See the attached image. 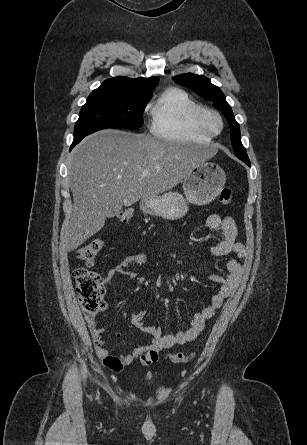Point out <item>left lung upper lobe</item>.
<instances>
[{
	"instance_id": "5c2ea615",
	"label": "left lung upper lobe",
	"mask_w": 307,
	"mask_h": 445,
	"mask_svg": "<svg viewBox=\"0 0 307 445\" xmlns=\"http://www.w3.org/2000/svg\"><path fill=\"white\" fill-rule=\"evenodd\" d=\"M173 80L181 85L192 89L196 94L204 99L210 100L222 111L225 118L231 125V142L236 156L246 164H250L246 150L241 143L240 128L233 115L230 105L226 102L225 96L217 86L213 85L208 78L192 73L175 76Z\"/></svg>"
}]
</instances>
